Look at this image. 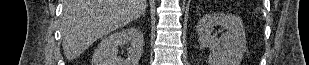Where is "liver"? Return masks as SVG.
I'll list each match as a JSON object with an SVG mask.
<instances>
[{"label": "liver", "mask_w": 309, "mask_h": 65, "mask_svg": "<svg viewBox=\"0 0 309 65\" xmlns=\"http://www.w3.org/2000/svg\"><path fill=\"white\" fill-rule=\"evenodd\" d=\"M62 47L68 60L94 41L137 19L147 0H63Z\"/></svg>", "instance_id": "obj_1"}]
</instances>
